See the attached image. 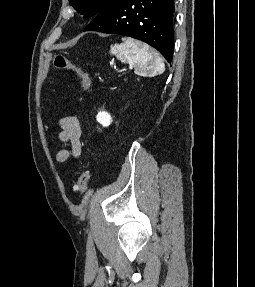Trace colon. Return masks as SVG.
<instances>
[{
	"instance_id": "5ec220e1",
	"label": "colon",
	"mask_w": 255,
	"mask_h": 287,
	"mask_svg": "<svg viewBox=\"0 0 255 287\" xmlns=\"http://www.w3.org/2000/svg\"><path fill=\"white\" fill-rule=\"evenodd\" d=\"M54 66L60 70H70L77 73L81 78L84 90H89L91 86V80L88 73L81 67L74 64L69 58L62 55L56 56L54 59ZM89 180H90L89 171L83 170L77 181V191L80 194H84L87 191Z\"/></svg>"
}]
</instances>
